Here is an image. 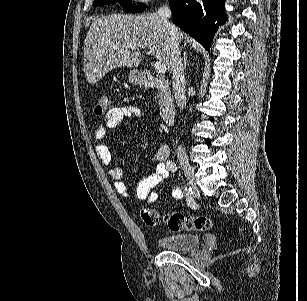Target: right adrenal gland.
<instances>
[{
  "instance_id": "obj_1",
  "label": "right adrenal gland",
  "mask_w": 307,
  "mask_h": 301,
  "mask_svg": "<svg viewBox=\"0 0 307 301\" xmlns=\"http://www.w3.org/2000/svg\"><path fill=\"white\" fill-rule=\"evenodd\" d=\"M183 62H184V68H186V66H187V62H188L186 52H184Z\"/></svg>"
}]
</instances>
